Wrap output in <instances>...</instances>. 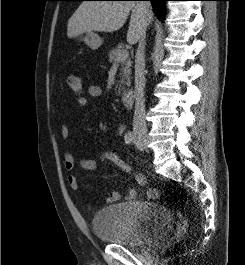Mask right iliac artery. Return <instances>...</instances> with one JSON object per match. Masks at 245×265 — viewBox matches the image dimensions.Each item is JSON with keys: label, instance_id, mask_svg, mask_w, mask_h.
I'll return each mask as SVG.
<instances>
[{"label": "right iliac artery", "instance_id": "82829eb1", "mask_svg": "<svg viewBox=\"0 0 245 265\" xmlns=\"http://www.w3.org/2000/svg\"><path fill=\"white\" fill-rule=\"evenodd\" d=\"M133 138H134V136H133L132 132L126 133L125 136H124L125 143L126 144H131V142L133 141Z\"/></svg>", "mask_w": 245, "mask_h": 265}]
</instances>
